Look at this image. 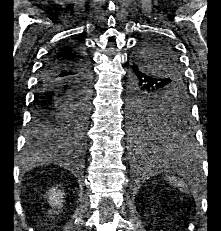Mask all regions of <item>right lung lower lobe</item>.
I'll return each mask as SVG.
<instances>
[{"label": "right lung lower lobe", "instance_id": "98d812e1", "mask_svg": "<svg viewBox=\"0 0 221 231\" xmlns=\"http://www.w3.org/2000/svg\"><path fill=\"white\" fill-rule=\"evenodd\" d=\"M53 54L45 62L40 76L27 137V150L30 155H33L38 152L41 154L58 149H72L80 155L82 145L76 144L68 137L60 116L66 102L74 96H83L85 102H90L92 79L90 61L79 49L76 58L72 60L58 61L51 58ZM66 71L73 74L60 79L59 77Z\"/></svg>", "mask_w": 221, "mask_h": 231}]
</instances>
